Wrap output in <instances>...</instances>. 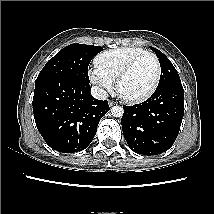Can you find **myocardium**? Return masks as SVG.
Masks as SVG:
<instances>
[{
  "label": "myocardium",
  "mask_w": 214,
  "mask_h": 214,
  "mask_svg": "<svg viewBox=\"0 0 214 214\" xmlns=\"http://www.w3.org/2000/svg\"><path fill=\"white\" fill-rule=\"evenodd\" d=\"M145 57H150L153 60L155 67H156V76H155V80H154L152 87L143 95H140L137 97L125 96L124 94H122V92L120 90L121 83L126 78V76L131 72V70L134 68V66L141 59H143ZM160 80H161V66H160L159 60L157 59V57L153 53L144 52L142 54L137 55L132 60H130L126 64V66L121 70V72L119 73L117 80H116L117 93L120 96V98L122 100H124L125 102L132 103V104L141 103V102H144L147 99H149L156 92V90L160 84Z\"/></svg>",
  "instance_id": "f54148a6"
}]
</instances>
